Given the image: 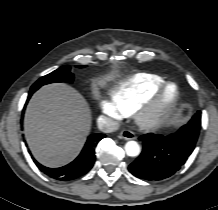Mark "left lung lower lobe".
I'll list each match as a JSON object with an SVG mask.
<instances>
[{"label":"left lung lower lobe","instance_id":"0a47b994","mask_svg":"<svg viewBox=\"0 0 218 210\" xmlns=\"http://www.w3.org/2000/svg\"><path fill=\"white\" fill-rule=\"evenodd\" d=\"M181 128L168 136L142 135L139 139L143 142V151L128 170L146 180L157 181L172 176L186 162L197 141L193 135L187 136Z\"/></svg>","mask_w":218,"mask_h":210}]
</instances>
